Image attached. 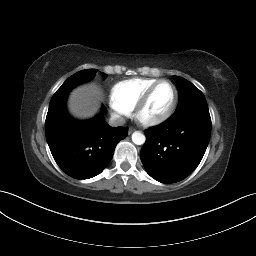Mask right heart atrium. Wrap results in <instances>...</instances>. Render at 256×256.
<instances>
[{
  "label": "right heart atrium",
  "mask_w": 256,
  "mask_h": 256,
  "mask_svg": "<svg viewBox=\"0 0 256 256\" xmlns=\"http://www.w3.org/2000/svg\"><path fill=\"white\" fill-rule=\"evenodd\" d=\"M113 114L118 119H123L129 115V111L125 108L112 105Z\"/></svg>",
  "instance_id": "right-heart-atrium-1"
}]
</instances>
